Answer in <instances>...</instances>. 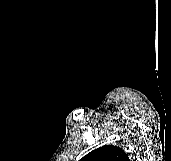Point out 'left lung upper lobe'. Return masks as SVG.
Masks as SVG:
<instances>
[{"instance_id": "left-lung-upper-lobe-1", "label": "left lung upper lobe", "mask_w": 171, "mask_h": 161, "mask_svg": "<svg viewBox=\"0 0 171 161\" xmlns=\"http://www.w3.org/2000/svg\"><path fill=\"white\" fill-rule=\"evenodd\" d=\"M80 161H129V157L121 148L106 145L88 153Z\"/></svg>"}]
</instances>
